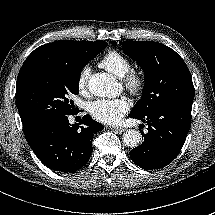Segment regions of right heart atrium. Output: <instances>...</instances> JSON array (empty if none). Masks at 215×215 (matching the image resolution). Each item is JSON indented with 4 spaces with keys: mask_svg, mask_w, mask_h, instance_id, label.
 <instances>
[{
    "mask_svg": "<svg viewBox=\"0 0 215 215\" xmlns=\"http://www.w3.org/2000/svg\"><path fill=\"white\" fill-rule=\"evenodd\" d=\"M91 74L89 66L81 68L77 75L76 88L79 94H86L88 91V81Z\"/></svg>",
    "mask_w": 215,
    "mask_h": 215,
    "instance_id": "1",
    "label": "right heart atrium"
}]
</instances>
